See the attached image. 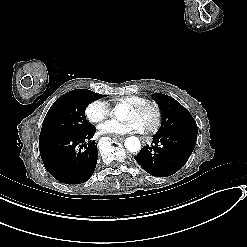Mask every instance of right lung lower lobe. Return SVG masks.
I'll use <instances>...</instances> for the list:
<instances>
[{
  "instance_id": "98d812e1",
  "label": "right lung lower lobe",
  "mask_w": 247,
  "mask_h": 247,
  "mask_svg": "<svg viewBox=\"0 0 247 247\" xmlns=\"http://www.w3.org/2000/svg\"><path fill=\"white\" fill-rule=\"evenodd\" d=\"M95 132L92 126L79 134L57 135L39 140L40 156L45 169L65 184L86 182L97 163L95 141H89Z\"/></svg>"
}]
</instances>
